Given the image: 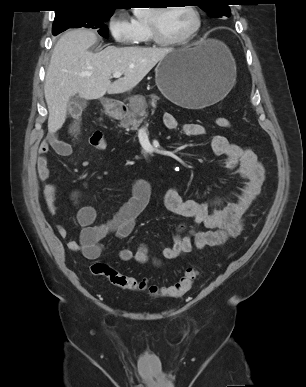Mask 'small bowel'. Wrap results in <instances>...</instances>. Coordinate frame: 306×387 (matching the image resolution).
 <instances>
[{
    "instance_id": "1",
    "label": "small bowel",
    "mask_w": 306,
    "mask_h": 387,
    "mask_svg": "<svg viewBox=\"0 0 306 387\" xmlns=\"http://www.w3.org/2000/svg\"><path fill=\"white\" fill-rule=\"evenodd\" d=\"M163 123L169 130L179 128L177 119L171 113L163 115ZM77 124L70 128V133H76ZM181 131L185 136L195 137L206 133V129L199 123L182 125ZM53 149L60 156L72 154L69 142L51 134L39 147L37 158V174L40 180L46 181L50 177L47 154ZM211 149L215 156L223 157L227 170L237 174L243 183L238 192L231 193L227 199L216 197L210 200L184 199L175 188L167 189L163 194L165 207L172 213L183 217L186 222L177 227L171 246H161L163 259L171 260L187 254L193 248L203 249L208 246H217L228 238L235 237L242 230L243 217L252 206L261 192L265 171L257 155L249 147L230 142L222 135H216L211 140ZM56 188L47 184L43 189V196L50 212L56 211ZM152 195L150 184L143 179L136 180L132 186L130 198L122 203L114 216L97 223V211L91 206H79V191L72 192V200L77 206L76 219L82 227L78 240H69L67 247L71 251H81L89 260L100 257L103 251V242L109 237L124 239L133 232L136 219L147 206ZM204 230H200V227ZM58 234L62 238L68 235L67 229L57 226ZM123 262L134 260L140 264H159L145 243L135 249L123 248L118 253Z\"/></svg>"
}]
</instances>
